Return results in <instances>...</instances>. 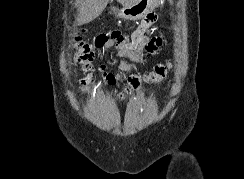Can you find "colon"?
<instances>
[{
  "label": "colon",
  "mask_w": 244,
  "mask_h": 179,
  "mask_svg": "<svg viewBox=\"0 0 244 179\" xmlns=\"http://www.w3.org/2000/svg\"><path fill=\"white\" fill-rule=\"evenodd\" d=\"M86 29L75 30L73 34V50L77 55V68L82 72H86L87 82L95 85V76L90 70L93 67V53L87 43L82 40V36L86 33ZM171 67L170 63L163 62L154 66L152 70L147 72L143 77L132 76L128 80V85L117 92L116 96L120 101H124L132 92H137L144 82L163 83L166 80V72ZM84 82V83H87ZM98 87L95 85V90Z\"/></svg>",
  "instance_id": "colon-1"
}]
</instances>
